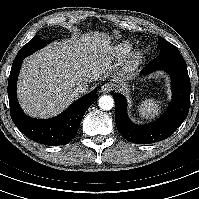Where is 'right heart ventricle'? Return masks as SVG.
Returning a JSON list of instances; mask_svg holds the SVG:
<instances>
[{"instance_id":"e07e8e85","label":"right heart ventricle","mask_w":199,"mask_h":199,"mask_svg":"<svg viewBox=\"0 0 199 199\" xmlns=\"http://www.w3.org/2000/svg\"><path fill=\"white\" fill-rule=\"evenodd\" d=\"M132 50V46L129 43H120L114 48V54L122 59L129 55Z\"/></svg>"}]
</instances>
